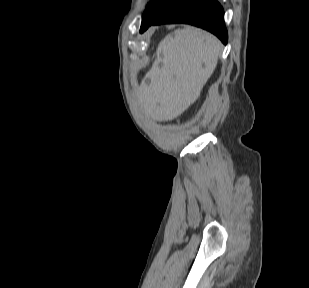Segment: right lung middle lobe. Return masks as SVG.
Segmentation results:
<instances>
[{
	"label": "right lung middle lobe",
	"mask_w": 309,
	"mask_h": 288,
	"mask_svg": "<svg viewBox=\"0 0 309 288\" xmlns=\"http://www.w3.org/2000/svg\"><path fill=\"white\" fill-rule=\"evenodd\" d=\"M182 0H153L142 16L140 29L150 26L158 17L177 6Z\"/></svg>",
	"instance_id": "1"
}]
</instances>
